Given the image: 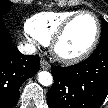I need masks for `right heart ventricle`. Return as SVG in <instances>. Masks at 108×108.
<instances>
[{
	"label": "right heart ventricle",
	"instance_id": "e07e8e85",
	"mask_svg": "<svg viewBox=\"0 0 108 108\" xmlns=\"http://www.w3.org/2000/svg\"><path fill=\"white\" fill-rule=\"evenodd\" d=\"M76 11L40 12L26 24L27 32L42 44H49L60 26Z\"/></svg>",
	"mask_w": 108,
	"mask_h": 108
}]
</instances>
